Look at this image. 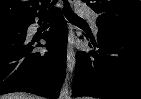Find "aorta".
<instances>
[{"instance_id": "762f6f07", "label": "aorta", "mask_w": 141, "mask_h": 99, "mask_svg": "<svg viewBox=\"0 0 141 99\" xmlns=\"http://www.w3.org/2000/svg\"><path fill=\"white\" fill-rule=\"evenodd\" d=\"M69 80H70V77L69 75H67L62 85V88L59 94V99H70L69 98V84H68Z\"/></svg>"}]
</instances>
